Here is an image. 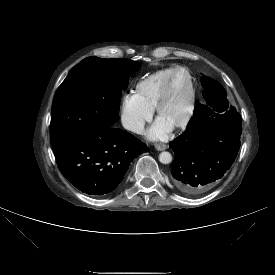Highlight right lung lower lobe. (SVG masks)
<instances>
[{"label":"right lung lower lobe","mask_w":275,"mask_h":275,"mask_svg":"<svg viewBox=\"0 0 275 275\" xmlns=\"http://www.w3.org/2000/svg\"><path fill=\"white\" fill-rule=\"evenodd\" d=\"M52 145L62 174L77 189L95 196L112 192L146 148L130 133L114 127L64 135Z\"/></svg>","instance_id":"obj_1"}]
</instances>
